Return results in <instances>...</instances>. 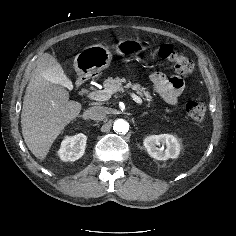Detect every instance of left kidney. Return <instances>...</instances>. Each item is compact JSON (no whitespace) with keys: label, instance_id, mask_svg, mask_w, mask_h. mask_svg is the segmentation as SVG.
Listing matches in <instances>:
<instances>
[{"label":"left kidney","instance_id":"1","mask_svg":"<svg viewBox=\"0 0 236 236\" xmlns=\"http://www.w3.org/2000/svg\"><path fill=\"white\" fill-rule=\"evenodd\" d=\"M143 144L148 154L156 160H168L177 158L180 154V143L171 134L151 135L144 139ZM162 145L158 148L157 146ZM165 146V147H164Z\"/></svg>","mask_w":236,"mask_h":236}]
</instances>
